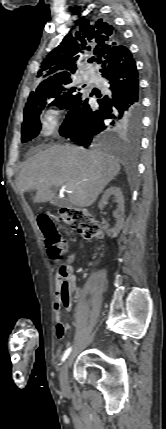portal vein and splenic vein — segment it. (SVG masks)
Listing matches in <instances>:
<instances>
[{
	"instance_id": "1",
	"label": "portal vein and splenic vein",
	"mask_w": 166,
	"mask_h": 429,
	"mask_svg": "<svg viewBox=\"0 0 166 429\" xmlns=\"http://www.w3.org/2000/svg\"><path fill=\"white\" fill-rule=\"evenodd\" d=\"M65 188H67V189H72V188H73V186H72L71 184H65Z\"/></svg>"
}]
</instances>
